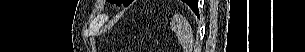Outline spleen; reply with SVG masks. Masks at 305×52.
<instances>
[{"label": "spleen", "mask_w": 305, "mask_h": 52, "mask_svg": "<svg viewBox=\"0 0 305 52\" xmlns=\"http://www.w3.org/2000/svg\"><path fill=\"white\" fill-rule=\"evenodd\" d=\"M172 29L176 32L178 39L181 35L182 25H184L183 19L176 17L172 19Z\"/></svg>", "instance_id": "spleen-1"}]
</instances>
